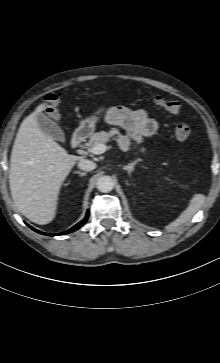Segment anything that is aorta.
<instances>
[{
  "label": "aorta",
  "mask_w": 220,
  "mask_h": 363,
  "mask_svg": "<svg viewBox=\"0 0 220 363\" xmlns=\"http://www.w3.org/2000/svg\"><path fill=\"white\" fill-rule=\"evenodd\" d=\"M114 187V181L110 176H102L97 180V188L102 193L110 192Z\"/></svg>",
  "instance_id": "762f6f07"
}]
</instances>
